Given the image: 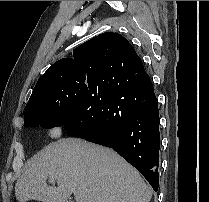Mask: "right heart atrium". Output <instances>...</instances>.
Returning <instances> with one entry per match:
<instances>
[{
    "label": "right heart atrium",
    "mask_w": 209,
    "mask_h": 202,
    "mask_svg": "<svg viewBox=\"0 0 209 202\" xmlns=\"http://www.w3.org/2000/svg\"><path fill=\"white\" fill-rule=\"evenodd\" d=\"M43 135L48 139H57L62 135V129L59 125H49L43 129Z\"/></svg>",
    "instance_id": "obj_1"
}]
</instances>
